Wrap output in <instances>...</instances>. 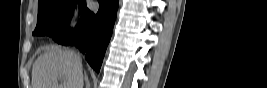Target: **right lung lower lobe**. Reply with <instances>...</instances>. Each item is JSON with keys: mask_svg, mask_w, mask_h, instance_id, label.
<instances>
[{"mask_svg": "<svg viewBox=\"0 0 267 88\" xmlns=\"http://www.w3.org/2000/svg\"><path fill=\"white\" fill-rule=\"evenodd\" d=\"M97 14L86 9L75 30L66 29L53 38L63 45H75L83 53L90 66L96 71L100 67L110 41L118 9V0H98Z\"/></svg>", "mask_w": 267, "mask_h": 88, "instance_id": "obj_1", "label": "right lung lower lobe"}]
</instances>
